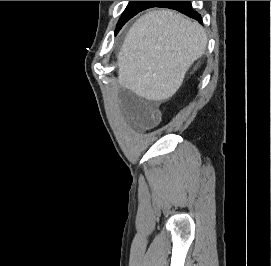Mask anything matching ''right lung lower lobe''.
<instances>
[{"mask_svg":"<svg viewBox=\"0 0 271 266\" xmlns=\"http://www.w3.org/2000/svg\"><path fill=\"white\" fill-rule=\"evenodd\" d=\"M154 7L175 9L202 23L200 14L192 9L191 1H159Z\"/></svg>","mask_w":271,"mask_h":266,"instance_id":"right-lung-lower-lobe-1","label":"right lung lower lobe"}]
</instances>
